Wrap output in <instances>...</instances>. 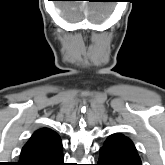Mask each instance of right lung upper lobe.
I'll return each mask as SVG.
<instances>
[{
	"instance_id": "obj_1",
	"label": "right lung upper lobe",
	"mask_w": 165,
	"mask_h": 165,
	"mask_svg": "<svg viewBox=\"0 0 165 165\" xmlns=\"http://www.w3.org/2000/svg\"><path fill=\"white\" fill-rule=\"evenodd\" d=\"M57 133L52 131L51 129L48 128H42L37 130L32 137L30 138V140L25 144V146L23 147L21 154H20V159L25 156L26 154L30 153L33 151L32 146L36 143H38L39 141L46 139L48 137L54 136Z\"/></svg>"
}]
</instances>
